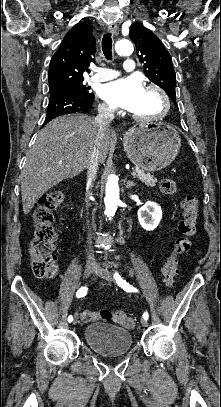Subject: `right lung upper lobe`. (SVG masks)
<instances>
[{
    "label": "right lung upper lobe",
    "instance_id": "1",
    "mask_svg": "<svg viewBox=\"0 0 221 407\" xmlns=\"http://www.w3.org/2000/svg\"><path fill=\"white\" fill-rule=\"evenodd\" d=\"M92 26L74 25L65 35L50 61L48 81L51 89L83 82L84 71L95 62V39Z\"/></svg>",
    "mask_w": 221,
    "mask_h": 407
}]
</instances>
